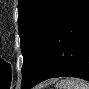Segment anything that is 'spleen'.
<instances>
[{
    "label": "spleen",
    "instance_id": "obj_1",
    "mask_svg": "<svg viewBox=\"0 0 89 89\" xmlns=\"http://www.w3.org/2000/svg\"><path fill=\"white\" fill-rule=\"evenodd\" d=\"M57 89H89V83L79 78H66L57 84Z\"/></svg>",
    "mask_w": 89,
    "mask_h": 89
}]
</instances>
